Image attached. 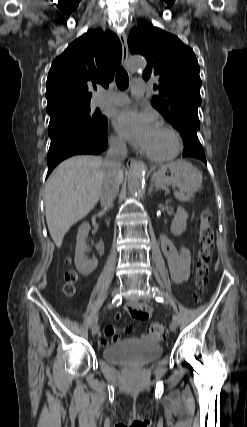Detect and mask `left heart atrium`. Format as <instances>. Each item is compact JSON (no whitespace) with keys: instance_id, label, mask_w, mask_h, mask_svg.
<instances>
[{"instance_id":"obj_1","label":"left heart atrium","mask_w":247,"mask_h":427,"mask_svg":"<svg viewBox=\"0 0 247 427\" xmlns=\"http://www.w3.org/2000/svg\"><path fill=\"white\" fill-rule=\"evenodd\" d=\"M117 132L132 145L146 149L156 130L153 116L136 109H124L114 116Z\"/></svg>"}]
</instances>
